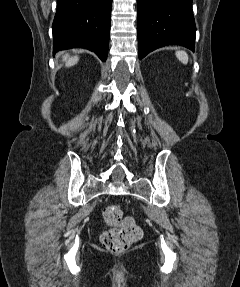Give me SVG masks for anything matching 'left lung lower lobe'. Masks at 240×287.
<instances>
[{
    "label": "left lung lower lobe",
    "instance_id": "1",
    "mask_svg": "<svg viewBox=\"0 0 240 287\" xmlns=\"http://www.w3.org/2000/svg\"><path fill=\"white\" fill-rule=\"evenodd\" d=\"M193 0H137L139 59L165 45L194 51Z\"/></svg>",
    "mask_w": 240,
    "mask_h": 287
}]
</instances>
